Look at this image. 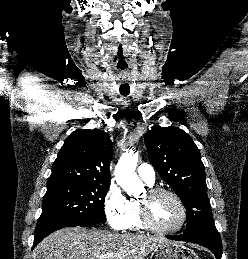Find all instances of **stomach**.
I'll use <instances>...</instances> for the list:
<instances>
[{
	"label": "stomach",
	"instance_id": "0dacf381",
	"mask_svg": "<svg viewBox=\"0 0 248 259\" xmlns=\"http://www.w3.org/2000/svg\"><path fill=\"white\" fill-rule=\"evenodd\" d=\"M150 259H199L194 250L173 242H166L153 250Z\"/></svg>",
	"mask_w": 248,
	"mask_h": 259
}]
</instances>
